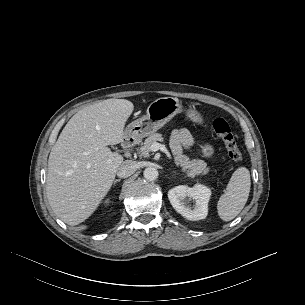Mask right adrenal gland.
Listing matches in <instances>:
<instances>
[{"label": "right adrenal gland", "mask_w": 305, "mask_h": 305, "mask_svg": "<svg viewBox=\"0 0 305 305\" xmlns=\"http://www.w3.org/2000/svg\"><path fill=\"white\" fill-rule=\"evenodd\" d=\"M120 181H121V179H115L113 184L115 185L117 182H120Z\"/></svg>", "instance_id": "obj_1"}]
</instances>
